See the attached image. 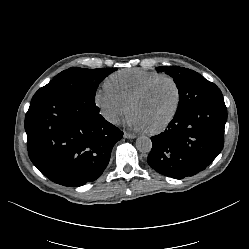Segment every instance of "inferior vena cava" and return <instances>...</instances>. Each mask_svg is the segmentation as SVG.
<instances>
[{
	"label": "inferior vena cava",
	"instance_id": "obj_1",
	"mask_svg": "<svg viewBox=\"0 0 249 249\" xmlns=\"http://www.w3.org/2000/svg\"><path fill=\"white\" fill-rule=\"evenodd\" d=\"M104 118H105L107 121H109L110 123H112V124H118V122H119L117 116H116V115H113V114H111V115H106V114H104Z\"/></svg>",
	"mask_w": 249,
	"mask_h": 249
}]
</instances>
